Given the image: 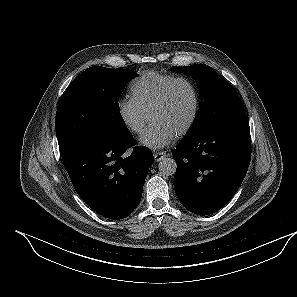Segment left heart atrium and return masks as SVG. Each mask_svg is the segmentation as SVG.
Returning <instances> with one entry per match:
<instances>
[{
  "instance_id": "obj_1",
  "label": "left heart atrium",
  "mask_w": 297,
  "mask_h": 297,
  "mask_svg": "<svg viewBox=\"0 0 297 297\" xmlns=\"http://www.w3.org/2000/svg\"><path fill=\"white\" fill-rule=\"evenodd\" d=\"M175 138V133L159 122H152L140 138L143 146L159 149L169 145Z\"/></svg>"
}]
</instances>
